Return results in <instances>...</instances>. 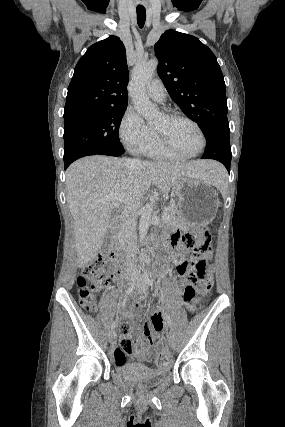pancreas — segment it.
Instances as JSON below:
<instances>
[{
    "label": "pancreas",
    "instance_id": "obj_1",
    "mask_svg": "<svg viewBox=\"0 0 285 427\" xmlns=\"http://www.w3.org/2000/svg\"><path fill=\"white\" fill-rule=\"evenodd\" d=\"M163 213H166L169 216V218L165 220V223L167 224L179 225L182 222L177 205L168 206L163 210Z\"/></svg>",
    "mask_w": 285,
    "mask_h": 427
}]
</instances>
